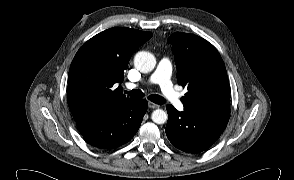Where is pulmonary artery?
I'll return each mask as SVG.
<instances>
[{"label":"pulmonary artery","mask_w":294,"mask_h":180,"mask_svg":"<svg viewBox=\"0 0 294 180\" xmlns=\"http://www.w3.org/2000/svg\"><path fill=\"white\" fill-rule=\"evenodd\" d=\"M171 63L167 58H163L159 61L154 73L150 77V82L158 84L161 88V91L169 99V101L175 106V108L182 112L184 111V104L181 101L179 95L174 90L172 81H171ZM138 85L129 83L127 84L128 89H134Z\"/></svg>","instance_id":"1"}]
</instances>
